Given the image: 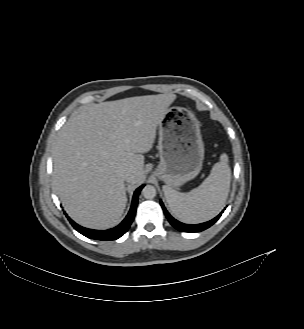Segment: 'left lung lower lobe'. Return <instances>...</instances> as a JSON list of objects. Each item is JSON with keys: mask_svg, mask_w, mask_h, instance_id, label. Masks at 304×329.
<instances>
[{"mask_svg": "<svg viewBox=\"0 0 304 329\" xmlns=\"http://www.w3.org/2000/svg\"><path fill=\"white\" fill-rule=\"evenodd\" d=\"M160 204L163 208V211L168 219V221L170 222V224L175 227L177 230L181 231V232H200L203 231L207 228H209L211 225H213L218 219L219 217L222 215V211L217 217H215L214 219L205 222V223H201V224H196V225H188V224H184L181 223L179 221H177L176 219H174L166 210V208L164 207L162 201H160Z\"/></svg>", "mask_w": 304, "mask_h": 329, "instance_id": "left-lung-lower-lobe-1", "label": "left lung lower lobe"}]
</instances>
